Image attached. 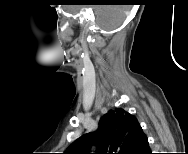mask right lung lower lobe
Segmentation results:
<instances>
[{
  "label": "right lung lower lobe",
  "instance_id": "obj_1",
  "mask_svg": "<svg viewBox=\"0 0 188 154\" xmlns=\"http://www.w3.org/2000/svg\"><path fill=\"white\" fill-rule=\"evenodd\" d=\"M145 154H151V150L149 149Z\"/></svg>",
  "mask_w": 188,
  "mask_h": 154
}]
</instances>
